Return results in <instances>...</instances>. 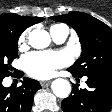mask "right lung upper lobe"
Listing matches in <instances>:
<instances>
[{"mask_svg":"<svg viewBox=\"0 0 112 112\" xmlns=\"http://www.w3.org/2000/svg\"><path fill=\"white\" fill-rule=\"evenodd\" d=\"M43 21L41 17H28L19 16L16 14H3L0 15V32L2 31H15L17 29L25 30L29 26ZM22 31V32H23Z\"/></svg>","mask_w":112,"mask_h":112,"instance_id":"1","label":"right lung upper lobe"}]
</instances>
